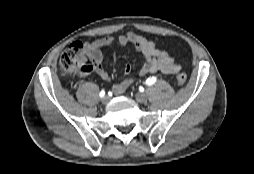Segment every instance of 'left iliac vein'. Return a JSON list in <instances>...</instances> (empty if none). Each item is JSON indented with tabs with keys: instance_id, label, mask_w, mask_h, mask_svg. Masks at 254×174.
Returning a JSON list of instances; mask_svg holds the SVG:
<instances>
[{
	"instance_id": "obj_1",
	"label": "left iliac vein",
	"mask_w": 254,
	"mask_h": 174,
	"mask_svg": "<svg viewBox=\"0 0 254 174\" xmlns=\"http://www.w3.org/2000/svg\"><path fill=\"white\" fill-rule=\"evenodd\" d=\"M135 98H136V100H137L138 102H140V103H145V102H147V100H148L147 95L144 94V93H137V94L135 95Z\"/></svg>"
}]
</instances>
